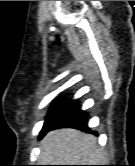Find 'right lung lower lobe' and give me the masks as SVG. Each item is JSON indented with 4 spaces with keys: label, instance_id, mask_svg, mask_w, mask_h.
Instances as JSON below:
<instances>
[{
    "label": "right lung lower lobe",
    "instance_id": "98d812e1",
    "mask_svg": "<svg viewBox=\"0 0 135 166\" xmlns=\"http://www.w3.org/2000/svg\"><path fill=\"white\" fill-rule=\"evenodd\" d=\"M58 128H75L89 133H94L90 131L87 126V114L79 108L76 102L71 103L68 109L55 122L43 128L41 131V137L46 132Z\"/></svg>",
    "mask_w": 135,
    "mask_h": 166
}]
</instances>
